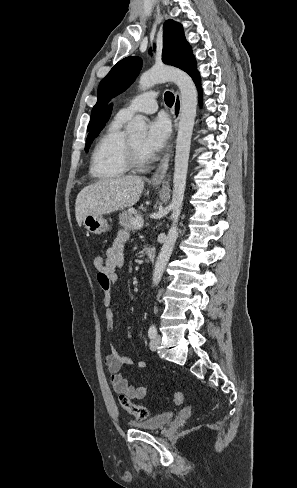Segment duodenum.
Returning <instances> with one entry per match:
<instances>
[{"mask_svg":"<svg viewBox=\"0 0 297 488\" xmlns=\"http://www.w3.org/2000/svg\"><path fill=\"white\" fill-rule=\"evenodd\" d=\"M146 254H147V260L149 262H152L155 259L156 252H155V250L152 247H148L146 249Z\"/></svg>","mask_w":297,"mask_h":488,"instance_id":"1","label":"duodenum"}]
</instances>
